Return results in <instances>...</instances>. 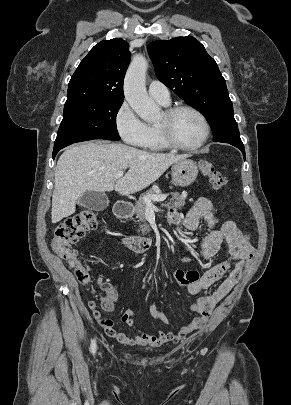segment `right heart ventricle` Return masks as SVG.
<instances>
[{
    "instance_id": "right-heart-ventricle-1",
    "label": "right heart ventricle",
    "mask_w": 291,
    "mask_h": 405,
    "mask_svg": "<svg viewBox=\"0 0 291 405\" xmlns=\"http://www.w3.org/2000/svg\"><path fill=\"white\" fill-rule=\"evenodd\" d=\"M143 147L151 151H163L168 148L161 138L157 124L148 125V137Z\"/></svg>"
}]
</instances>
